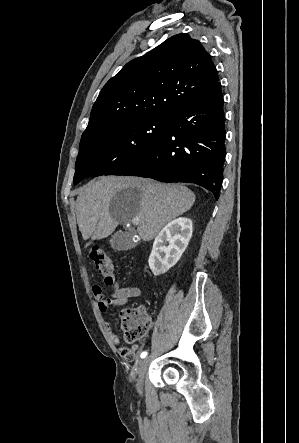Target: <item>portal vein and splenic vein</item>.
Wrapping results in <instances>:
<instances>
[{
    "instance_id": "portal-vein-and-splenic-vein-1",
    "label": "portal vein and splenic vein",
    "mask_w": 299,
    "mask_h": 443,
    "mask_svg": "<svg viewBox=\"0 0 299 443\" xmlns=\"http://www.w3.org/2000/svg\"><path fill=\"white\" fill-rule=\"evenodd\" d=\"M138 222H139V218H138V217H134V218L132 219V223H133V224L137 225Z\"/></svg>"
}]
</instances>
